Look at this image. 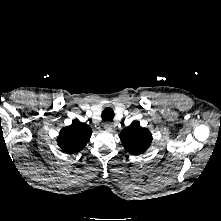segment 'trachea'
Masks as SVG:
<instances>
[{"label":"trachea","mask_w":221,"mask_h":221,"mask_svg":"<svg viewBox=\"0 0 221 221\" xmlns=\"http://www.w3.org/2000/svg\"><path fill=\"white\" fill-rule=\"evenodd\" d=\"M114 118V111L112 110V108L110 107H106L103 111H102V120L106 121H112Z\"/></svg>","instance_id":"3493384b"}]
</instances>
